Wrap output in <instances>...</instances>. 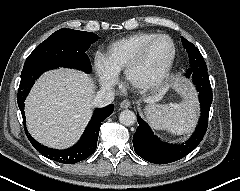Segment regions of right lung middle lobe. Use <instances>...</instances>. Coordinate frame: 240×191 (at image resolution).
Listing matches in <instances>:
<instances>
[{
	"label": "right lung middle lobe",
	"mask_w": 240,
	"mask_h": 191,
	"mask_svg": "<svg viewBox=\"0 0 240 191\" xmlns=\"http://www.w3.org/2000/svg\"><path fill=\"white\" fill-rule=\"evenodd\" d=\"M99 37L91 32L60 29L38 45L25 61L22 71L44 67L92 70L86 51Z\"/></svg>",
	"instance_id": "right-lung-middle-lobe-1"
}]
</instances>
